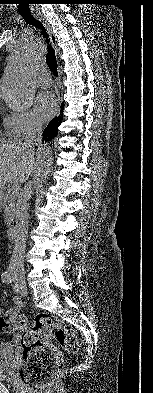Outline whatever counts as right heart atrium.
Listing matches in <instances>:
<instances>
[{
  "instance_id": "right-heart-atrium-1",
  "label": "right heart atrium",
  "mask_w": 153,
  "mask_h": 393,
  "mask_svg": "<svg viewBox=\"0 0 153 393\" xmlns=\"http://www.w3.org/2000/svg\"><path fill=\"white\" fill-rule=\"evenodd\" d=\"M9 136L25 137L41 130V123L36 115L29 110L9 113L4 120Z\"/></svg>"
}]
</instances>
